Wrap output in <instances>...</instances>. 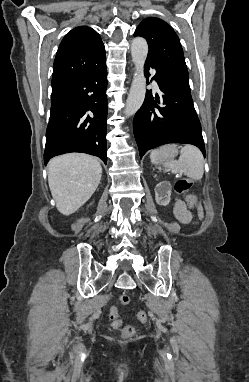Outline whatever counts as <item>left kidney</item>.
<instances>
[{"label":"left kidney","instance_id":"obj_1","mask_svg":"<svg viewBox=\"0 0 249 382\" xmlns=\"http://www.w3.org/2000/svg\"><path fill=\"white\" fill-rule=\"evenodd\" d=\"M171 184L168 181H162L155 188V196L153 202L162 206H166L170 202Z\"/></svg>","mask_w":249,"mask_h":382}]
</instances>
